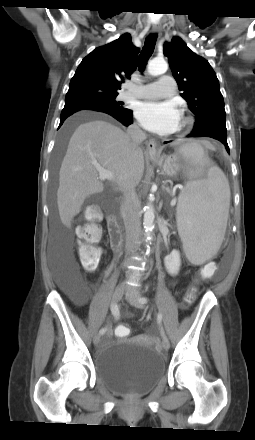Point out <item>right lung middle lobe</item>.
<instances>
[{
  "label": "right lung middle lobe",
  "mask_w": 255,
  "mask_h": 440,
  "mask_svg": "<svg viewBox=\"0 0 255 440\" xmlns=\"http://www.w3.org/2000/svg\"><path fill=\"white\" fill-rule=\"evenodd\" d=\"M118 94H103V93H93V94H89L84 96L83 98H81L80 100H76V101H91V102H98V103H103L106 104L108 106L114 107L116 109H124V107L122 106V103L117 102L115 100V98L117 97ZM65 102H75L73 100H65ZM67 131L63 132L62 137H61V141H60V147L65 143L66 138H67Z\"/></svg>",
  "instance_id": "dd1d6c3e"
}]
</instances>
